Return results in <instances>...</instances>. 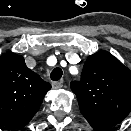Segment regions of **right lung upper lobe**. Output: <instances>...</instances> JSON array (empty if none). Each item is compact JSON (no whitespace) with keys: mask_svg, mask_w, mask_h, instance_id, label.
Here are the masks:
<instances>
[{"mask_svg":"<svg viewBox=\"0 0 131 131\" xmlns=\"http://www.w3.org/2000/svg\"><path fill=\"white\" fill-rule=\"evenodd\" d=\"M51 85L30 70L24 58L9 52L0 57V125L24 127L39 110Z\"/></svg>","mask_w":131,"mask_h":131,"instance_id":"cb5924a9","label":"right lung upper lobe"}]
</instances>
